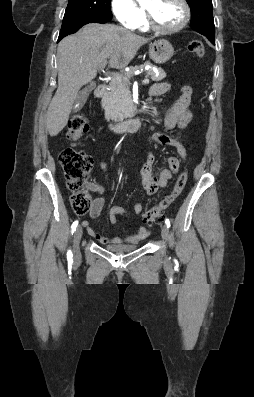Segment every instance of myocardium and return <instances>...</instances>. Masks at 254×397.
<instances>
[{
	"label": "myocardium",
	"mask_w": 254,
	"mask_h": 397,
	"mask_svg": "<svg viewBox=\"0 0 254 397\" xmlns=\"http://www.w3.org/2000/svg\"><path fill=\"white\" fill-rule=\"evenodd\" d=\"M183 8V17L181 22L176 25L175 27L172 28H163L160 27L156 24L152 14L150 11H148L146 9V22H147V26L160 34H174L177 33L179 31H181L188 23L189 19H190V15H191V11H190V7L188 5V3L186 2V0H176Z\"/></svg>",
	"instance_id": "myocardium-1"
}]
</instances>
